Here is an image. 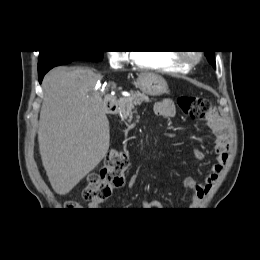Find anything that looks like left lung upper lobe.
I'll use <instances>...</instances> for the list:
<instances>
[{"label":"left lung upper lobe","mask_w":260,"mask_h":260,"mask_svg":"<svg viewBox=\"0 0 260 260\" xmlns=\"http://www.w3.org/2000/svg\"><path fill=\"white\" fill-rule=\"evenodd\" d=\"M206 56L208 58L209 63L216 68V62H215V58H214V51H205Z\"/></svg>","instance_id":"obj_1"}]
</instances>
